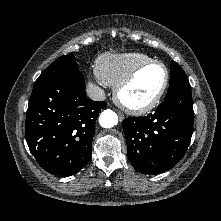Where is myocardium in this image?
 <instances>
[{
  "instance_id": "myocardium-1",
  "label": "myocardium",
  "mask_w": 221,
  "mask_h": 221,
  "mask_svg": "<svg viewBox=\"0 0 221 221\" xmlns=\"http://www.w3.org/2000/svg\"><path fill=\"white\" fill-rule=\"evenodd\" d=\"M154 65L162 67L165 73L164 81L159 91L152 99H150L148 102L144 104L135 105L128 103L122 96L123 91L136 80V78L142 71ZM169 79H170L169 70L165 64L157 60H151L145 62L137 66L135 69H133L118 85L115 86L114 100L123 110H125L130 114L142 115L148 113L159 104L160 100L164 96L169 85Z\"/></svg>"
}]
</instances>
